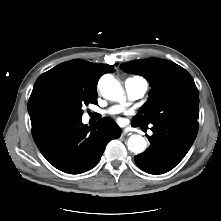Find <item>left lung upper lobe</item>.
<instances>
[{
  "label": "left lung upper lobe",
  "instance_id": "1",
  "mask_svg": "<svg viewBox=\"0 0 221 221\" xmlns=\"http://www.w3.org/2000/svg\"><path fill=\"white\" fill-rule=\"evenodd\" d=\"M120 68L144 76L151 84L150 97L135 116V123L173 122L198 126V89L184 68L159 58L123 63Z\"/></svg>",
  "mask_w": 221,
  "mask_h": 221
}]
</instances>
